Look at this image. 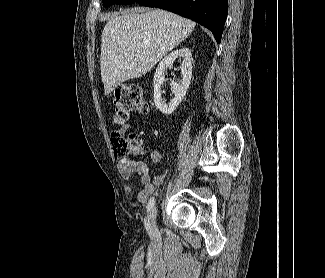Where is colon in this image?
Returning a JSON list of instances; mask_svg holds the SVG:
<instances>
[{"instance_id": "colon-1", "label": "colon", "mask_w": 325, "mask_h": 278, "mask_svg": "<svg viewBox=\"0 0 325 278\" xmlns=\"http://www.w3.org/2000/svg\"><path fill=\"white\" fill-rule=\"evenodd\" d=\"M112 123L121 125L128 121L131 113H145L149 110V103L142 95L141 88L134 85L121 86L115 89L111 98ZM114 152L123 157L125 163L132 160L128 156L139 155L143 152V146L136 134L124 136L120 129H113Z\"/></svg>"}]
</instances>
